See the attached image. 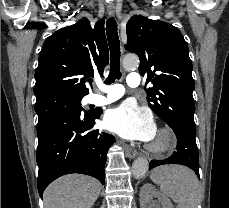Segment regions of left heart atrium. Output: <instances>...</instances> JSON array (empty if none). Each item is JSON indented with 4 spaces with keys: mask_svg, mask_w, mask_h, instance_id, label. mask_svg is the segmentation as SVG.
<instances>
[{
    "mask_svg": "<svg viewBox=\"0 0 229 208\" xmlns=\"http://www.w3.org/2000/svg\"><path fill=\"white\" fill-rule=\"evenodd\" d=\"M103 125L130 140L149 141L155 135L151 112L133 100L124 101L110 109L104 117Z\"/></svg>",
    "mask_w": 229,
    "mask_h": 208,
    "instance_id": "left-heart-atrium-1",
    "label": "left heart atrium"
}]
</instances>
